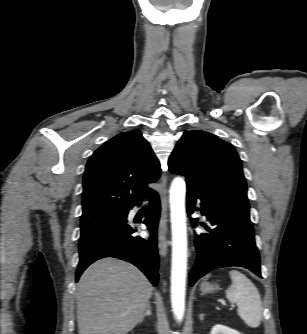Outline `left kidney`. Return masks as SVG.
Instances as JSON below:
<instances>
[{
    "label": "left kidney",
    "mask_w": 307,
    "mask_h": 334,
    "mask_svg": "<svg viewBox=\"0 0 307 334\" xmlns=\"http://www.w3.org/2000/svg\"><path fill=\"white\" fill-rule=\"evenodd\" d=\"M210 334H241L234 329H230L229 327L223 325H215L212 329Z\"/></svg>",
    "instance_id": "1"
}]
</instances>
